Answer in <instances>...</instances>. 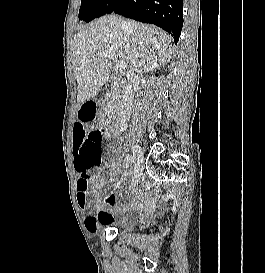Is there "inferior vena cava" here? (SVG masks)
Masks as SVG:
<instances>
[{"label":"inferior vena cava","mask_w":265,"mask_h":273,"mask_svg":"<svg viewBox=\"0 0 265 273\" xmlns=\"http://www.w3.org/2000/svg\"><path fill=\"white\" fill-rule=\"evenodd\" d=\"M123 27H127V22H122ZM127 78L129 81H132L135 78V73L133 70H128ZM133 109V89L131 84H127L123 88V95L121 99V103L119 106V125L121 131L126 129L127 122L130 119V115Z\"/></svg>","instance_id":"inferior-vena-cava-1"}]
</instances>
